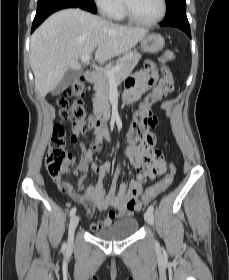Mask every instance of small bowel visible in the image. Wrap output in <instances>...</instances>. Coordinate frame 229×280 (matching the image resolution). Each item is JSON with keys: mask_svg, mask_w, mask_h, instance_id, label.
I'll return each mask as SVG.
<instances>
[{"mask_svg": "<svg viewBox=\"0 0 229 280\" xmlns=\"http://www.w3.org/2000/svg\"><path fill=\"white\" fill-rule=\"evenodd\" d=\"M158 81V71L154 65H146L134 75L128 77L125 84L123 99L127 103L136 101L142 92L153 87ZM173 83V80H172ZM168 92L158 85L150 94L152 102L144 100L139 105V110L144 114H151V105L166 97ZM95 142H110L111 136L104 128H96L94 130ZM156 143V135L152 131H148L147 136L138 145L129 146L126 150L124 158L119 162L114 175L112 188L109 193L104 190V183L110 174L111 164L109 161L97 163L93 158V150L87 149L81 157L76 169L72 173L82 172L85 174L89 169L98 174L99 180L93 185L86 186L81 192H67V196L75 202L82 205L88 215H92L96 209L105 210L111 208L112 211L101 221L91 224L93 231L101 230L109 227L113 221L120 217H130L140 208L131 207L129 202L132 199H138L143 185L156 178V175L147 169H143L144 160L149 155L150 150ZM125 162L130 163L137 171L136 177L129 185L125 183L118 184V180L123 171Z\"/></svg>", "mask_w": 229, "mask_h": 280, "instance_id": "c3829d8e", "label": "small bowel"}]
</instances>
